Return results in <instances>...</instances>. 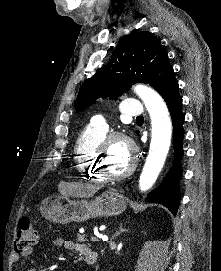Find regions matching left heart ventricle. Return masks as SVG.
Instances as JSON below:
<instances>
[{
    "mask_svg": "<svg viewBox=\"0 0 221 271\" xmlns=\"http://www.w3.org/2000/svg\"><path fill=\"white\" fill-rule=\"evenodd\" d=\"M120 144H122V141H111V146H118L119 156H100L101 164H105V167L108 168V175H123V168H128L129 164L134 163L133 159H127L130 152L120 149Z\"/></svg>",
    "mask_w": 221,
    "mask_h": 271,
    "instance_id": "b2bd125f",
    "label": "left heart ventricle"
}]
</instances>
